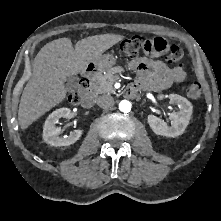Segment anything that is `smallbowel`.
Listing matches in <instances>:
<instances>
[{
	"label": "small bowel",
	"mask_w": 221,
	"mask_h": 221,
	"mask_svg": "<svg viewBox=\"0 0 221 221\" xmlns=\"http://www.w3.org/2000/svg\"><path fill=\"white\" fill-rule=\"evenodd\" d=\"M149 57H137L131 60L129 66L137 74V89L161 91L169 88L173 83L182 82L186 72L177 66L170 67L165 62L156 59L163 52L145 51Z\"/></svg>",
	"instance_id": "obj_1"
}]
</instances>
